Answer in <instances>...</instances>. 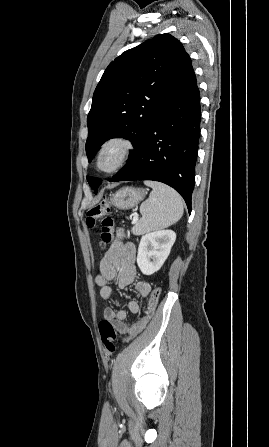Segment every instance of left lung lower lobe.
Masks as SVG:
<instances>
[{
	"instance_id": "0a47b994",
	"label": "left lung lower lobe",
	"mask_w": 269,
	"mask_h": 447,
	"mask_svg": "<svg viewBox=\"0 0 269 447\" xmlns=\"http://www.w3.org/2000/svg\"><path fill=\"white\" fill-rule=\"evenodd\" d=\"M200 94L187 54L140 152L110 181L155 180L173 187L189 212L200 138Z\"/></svg>"
}]
</instances>
